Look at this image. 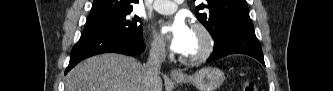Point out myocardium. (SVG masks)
Instances as JSON below:
<instances>
[{
	"label": "myocardium",
	"instance_id": "f54148a6",
	"mask_svg": "<svg viewBox=\"0 0 333 91\" xmlns=\"http://www.w3.org/2000/svg\"><path fill=\"white\" fill-rule=\"evenodd\" d=\"M192 30L202 37L203 44L199 52L196 54L191 56L182 54L180 56V61L185 64H197L205 61L211 56L215 46L213 35L205 25L201 23H195L192 26Z\"/></svg>",
	"mask_w": 333,
	"mask_h": 91
}]
</instances>
